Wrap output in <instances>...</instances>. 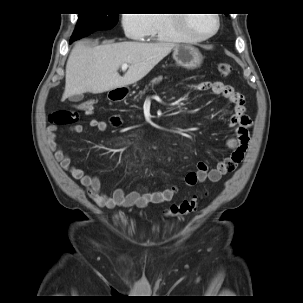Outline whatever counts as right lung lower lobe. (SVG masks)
I'll use <instances>...</instances> for the list:
<instances>
[{"instance_id": "98d812e1", "label": "right lung lower lobe", "mask_w": 303, "mask_h": 303, "mask_svg": "<svg viewBox=\"0 0 303 303\" xmlns=\"http://www.w3.org/2000/svg\"><path fill=\"white\" fill-rule=\"evenodd\" d=\"M73 41H75V39H70V43H72Z\"/></svg>"}]
</instances>
